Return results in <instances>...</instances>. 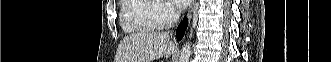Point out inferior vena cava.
Returning <instances> with one entry per match:
<instances>
[{"label": "inferior vena cava", "mask_w": 331, "mask_h": 62, "mask_svg": "<svg viewBox=\"0 0 331 62\" xmlns=\"http://www.w3.org/2000/svg\"><path fill=\"white\" fill-rule=\"evenodd\" d=\"M179 14L175 13V12H172V19H173V22H177L179 20Z\"/></svg>", "instance_id": "inferior-vena-cava-1"}]
</instances>
